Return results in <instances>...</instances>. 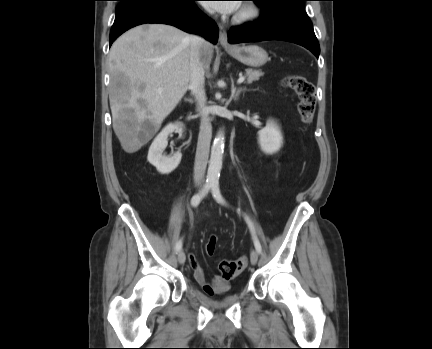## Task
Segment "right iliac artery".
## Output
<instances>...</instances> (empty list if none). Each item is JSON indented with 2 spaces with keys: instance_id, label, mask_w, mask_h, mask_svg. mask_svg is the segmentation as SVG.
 <instances>
[{
  "instance_id": "right-iliac-artery-1",
  "label": "right iliac artery",
  "mask_w": 432,
  "mask_h": 349,
  "mask_svg": "<svg viewBox=\"0 0 432 349\" xmlns=\"http://www.w3.org/2000/svg\"><path fill=\"white\" fill-rule=\"evenodd\" d=\"M212 188V183L211 182H207L205 183L202 191L198 194H195L192 198H191V205L193 207H197L199 205V203L201 202V200L203 199V197L210 191V189ZM182 248V240H179L176 243L175 249L177 252H179Z\"/></svg>"
}]
</instances>
